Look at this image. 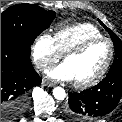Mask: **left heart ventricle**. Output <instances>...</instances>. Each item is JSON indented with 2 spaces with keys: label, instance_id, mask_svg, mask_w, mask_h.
Segmentation results:
<instances>
[{
  "label": "left heart ventricle",
  "instance_id": "1",
  "mask_svg": "<svg viewBox=\"0 0 122 122\" xmlns=\"http://www.w3.org/2000/svg\"><path fill=\"white\" fill-rule=\"evenodd\" d=\"M109 55L105 41L91 45L83 53L68 57L64 63L70 70L73 82H83L94 77L103 67Z\"/></svg>",
  "mask_w": 122,
  "mask_h": 122
}]
</instances>
